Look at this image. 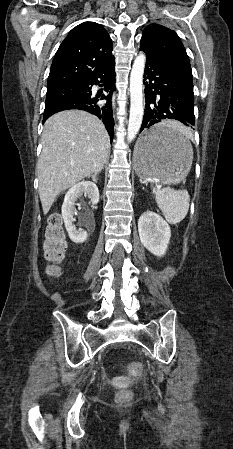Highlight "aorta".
Masks as SVG:
<instances>
[{"label":"aorta","mask_w":233,"mask_h":449,"mask_svg":"<svg viewBox=\"0 0 233 449\" xmlns=\"http://www.w3.org/2000/svg\"><path fill=\"white\" fill-rule=\"evenodd\" d=\"M146 56L140 53L134 60L130 74V115L127 129V141L131 142L137 135L143 120V74Z\"/></svg>","instance_id":"obj_1"}]
</instances>
